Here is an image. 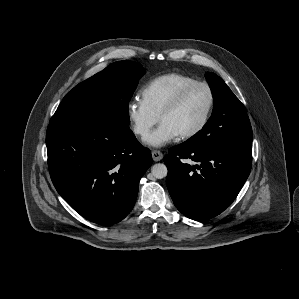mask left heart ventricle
Segmentation results:
<instances>
[{
    "mask_svg": "<svg viewBox=\"0 0 299 299\" xmlns=\"http://www.w3.org/2000/svg\"><path fill=\"white\" fill-rule=\"evenodd\" d=\"M208 101L207 90L203 87H195L175 110L162 118L161 122L170 125L179 135L188 132L201 122Z\"/></svg>",
    "mask_w": 299,
    "mask_h": 299,
    "instance_id": "b2bd125f",
    "label": "left heart ventricle"
}]
</instances>
